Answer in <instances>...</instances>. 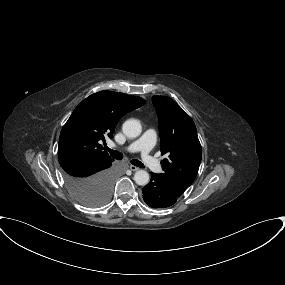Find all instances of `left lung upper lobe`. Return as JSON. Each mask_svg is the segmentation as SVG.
<instances>
[{"label":"left lung upper lobe","instance_id":"left-lung-upper-lobe-1","mask_svg":"<svg viewBox=\"0 0 285 285\" xmlns=\"http://www.w3.org/2000/svg\"><path fill=\"white\" fill-rule=\"evenodd\" d=\"M158 113L161 154H167L161 177L180 193L194 181L202 158V149L193 120L171 98L154 95Z\"/></svg>","mask_w":285,"mask_h":285}]
</instances>
